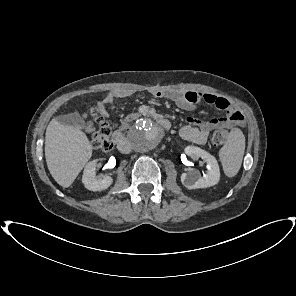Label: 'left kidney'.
I'll list each match as a JSON object with an SVG mask.
<instances>
[{"label": "left kidney", "mask_w": 296, "mask_h": 296, "mask_svg": "<svg viewBox=\"0 0 296 296\" xmlns=\"http://www.w3.org/2000/svg\"><path fill=\"white\" fill-rule=\"evenodd\" d=\"M185 153L191 158L200 157L207 163V171L203 176L192 169L187 173H182L181 182L186 188H207L216 185L219 182L220 169L218 162L213 155L196 146H187L185 148Z\"/></svg>", "instance_id": "left-kidney-1"}]
</instances>
